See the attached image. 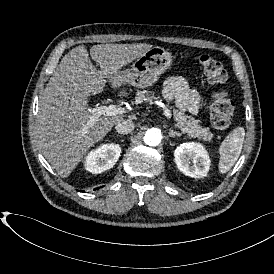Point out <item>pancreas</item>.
Here are the masks:
<instances>
[{"label": "pancreas", "instance_id": "1", "mask_svg": "<svg viewBox=\"0 0 274 274\" xmlns=\"http://www.w3.org/2000/svg\"><path fill=\"white\" fill-rule=\"evenodd\" d=\"M152 94V95H150ZM155 100V93L148 90L138 91L136 94V103L148 102L152 103ZM173 109L174 119L176 120V127L181 130L190 138L200 139L206 142H211L213 133L209 131V128H203L199 125V120L194 119L192 116L184 114L178 111L175 106H171Z\"/></svg>", "mask_w": 274, "mask_h": 274}]
</instances>
